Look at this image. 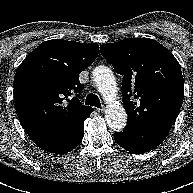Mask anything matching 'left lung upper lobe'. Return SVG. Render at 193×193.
Instances as JSON below:
<instances>
[{"label": "left lung upper lobe", "mask_w": 193, "mask_h": 193, "mask_svg": "<svg viewBox=\"0 0 193 193\" xmlns=\"http://www.w3.org/2000/svg\"><path fill=\"white\" fill-rule=\"evenodd\" d=\"M101 54L123 76L127 126L167 124L179 114L184 81L173 54L149 38H127L100 46Z\"/></svg>", "instance_id": "5c2ea615"}]
</instances>
